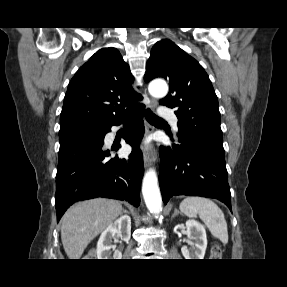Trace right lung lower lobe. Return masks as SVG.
Instances as JSON below:
<instances>
[{"mask_svg": "<svg viewBox=\"0 0 287 287\" xmlns=\"http://www.w3.org/2000/svg\"><path fill=\"white\" fill-rule=\"evenodd\" d=\"M144 105L125 116L100 126L96 138L74 139L60 143L56 174L55 206L57 221L75 202L97 197L126 200L138 207L144 172L139 142L144 134ZM127 119L130 122L124 139L132 146L126 158L103 149L104 136Z\"/></svg>", "mask_w": 287, "mask_h": 287, "instance_id": "right-lung-lower-lobe-1", "label": "right lung lower lobe"}]
</instances>
